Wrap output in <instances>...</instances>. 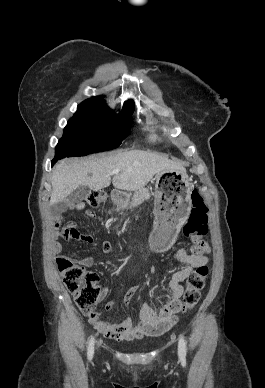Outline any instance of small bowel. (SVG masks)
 <instances>
[{"label":"small bowel","mask_w":265,"mask_h":388,"mask_svg":"<svg viewBox=\"0 0 265 388\" xmlns=\"http://www.w3.org/2000/svg\"><path fill=\"white\" fill-rule=\"evenodd\" d=\"M86 204L82 201L72 205L73 209L83 210ZM86 215L94 218L96 215L93 211L87 210ZM88 244L94 243V238L91 235H84L80 238ZM54 251L59 253L62 251V245L58 242L54 244ZM66 257L75 263L90 267L93 265L92 258L73 259ZM59 257V258H60ZM175 257L182 265V268L174 272L168 282L167 289L170 293L167 303L159 309H155L147 303H144L140 309V320L135 323L132 318L127 317L119 323H111L97 318L91 319L94 327L105 337L114 340H131L138 339L144 336L161 334L168 331L176 322L177 314L180 312L181 301L183 294L182 283L191 274L194 268L205 266L208 258L205 255H195L188 253L185 249L180 248L176 251ZM138 286L132 287L124 296V302H128L137 292ZM110 293L109 288L104 287L99 293V299H105ZM115 306L114 302L107 303V309L112 310Z\"/></svg>","instance_id":"1"}]
</instances>
